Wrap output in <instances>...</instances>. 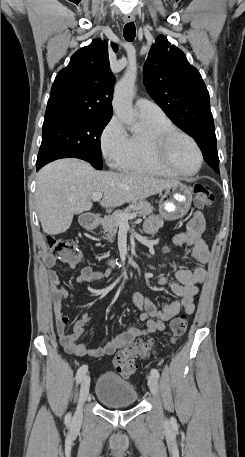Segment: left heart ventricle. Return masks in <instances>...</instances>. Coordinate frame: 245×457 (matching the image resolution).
Returning a JSON list of instances; mask_svg holds the SVG:
<instances>
[{"instance_id":"b2bd125f","label":"left heart ventricle","mask_w":245,"mask_h":457,"mask_svg":"<svg viewBox=\"0 0 245 457\" xmlns=\"http://www.w3.org/2000/svg\"><path fill=\"white\" fill-rule=\"evenodd\" d=\"M155 154L160 162L177 171L191 172L197 166L196 154L190 142L182 136H177L166 147H157Z\"/></svg>"}]
</instances>
